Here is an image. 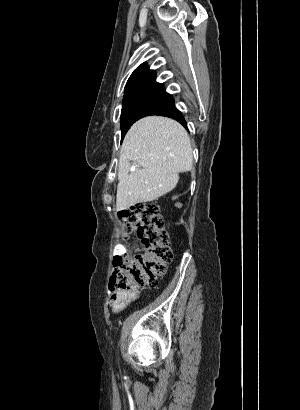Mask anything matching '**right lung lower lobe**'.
<instances>
[{"label": "right lung lower lobe", "instance_id": "1", "mask_svg": "<svg viewBox=\"0 0 300 410\" xmlns=\"http://www.w3.org/2000/svg\"><path fill=\"white\" fill-rule=\"evenodd\" d=\"M153 115H162V116H167L173 119H176L178 122H180L184 127L186 126V121L183 118L182 113L177 110V108L174 106V104L170 105L169 107L153 114Z\"/></svg>", "mask_w": 300, "mask_h": 410}]
</instances>
